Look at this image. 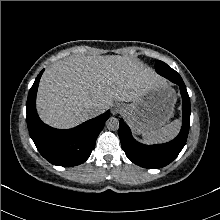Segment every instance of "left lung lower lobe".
Instances as JSON below:
<instances>
[{
  "label": "left lung lower lobe",
  "instance_id": "1",
  "mask_svg": "<svg viewBox=\"0 0 220 220\" xmlns=\"http://www.w3.org/2000/svg\"><path fill=\"white\" fill-rule=\"evenodd\" d=\"M157 73L180 87L182 96V128L179 135L172 141L159 145H144L137 142L131 135L128 125L120 119L119 137L122 149L133 163L149 169L162 168L171 163L186 144L190 127V98L181 76L168 65L156 69Z\"/></svg>",
  "mask_w": 220,
  "mask_h": 220
}]
</instances>
